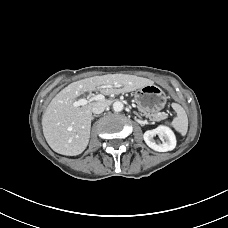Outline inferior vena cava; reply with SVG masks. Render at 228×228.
Segmentation results:
<instances>
[{"label": "inferior vena cava", "instance_id": "inferior-vena-cava-1", "mask_svg": "<svg viewBox=\"0 0 228 228\" xmlns=\"http://www.w3.org/2000/svg\"><path fill=\"white\" fill-rule=\"evenodd\" d=\"M108 107V103L107 102H97L93 108H92V112L94 114H100L102 113L106 108Z\"/></svg>", "mask_w": 228, "mask_h": 228}]
</instances>
